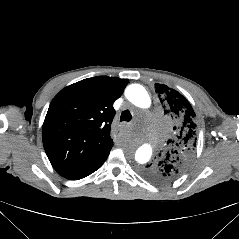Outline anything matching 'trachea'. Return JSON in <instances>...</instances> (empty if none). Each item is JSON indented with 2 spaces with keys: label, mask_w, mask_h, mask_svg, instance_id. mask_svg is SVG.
<instances>
[{
  "label": "trachea",
  "mask_w": 239,
  "mask_h": 239,
  "mask_svg": "<svg viewBox=\"0 0 239 239\" xmlns=\"http://www.w3.org/2000/svg\"><path fill=\"white\" fill-rule=\"evenodd\" d=\"M132 119V115L129 110H125L121 113L120 121H130Z\"/></svg>",
  "instance_id": "trachea-1"
}]
</instances>
